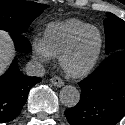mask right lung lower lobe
<instances>
[{
  "instance_id": "obj_1",
  "label": "right lung lower lobe",
  "mask_w": 125,
  "mask_h": 125,
  "mask_svg": "<svg viewBox=\"0 0 125 125\" xmlns=\"http://www.w3.org/2000/svg\"><path fill=\"white\" fill-rule=\"evenodd\" d=\"M15 48L30 52L31 45L23 35L11 34ZM41 81L38 77L23 75L14 60L7 72L0 77V123L15 119L27 101L30 89Z\"/></svg>"
}]
</instances>
